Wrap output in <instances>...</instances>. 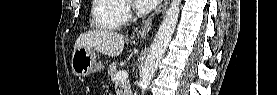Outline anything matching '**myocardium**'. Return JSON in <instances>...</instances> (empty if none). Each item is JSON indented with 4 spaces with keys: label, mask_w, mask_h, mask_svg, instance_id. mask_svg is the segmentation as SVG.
Segmentation results:
<instances>
[{
    "label": "myocardium",
    "mask_w": 277,
    "mask_h": 95,
    "mask_svg": "<svg viewBox=\"0 0 277 95\" xmlns=\"http://www.w3.org/2000/svg\"><path fill=\"white\" fill-rule=\"evenodd\" d=\"M126 2L134 11H137V9L135 8V5H134L132 0H126Z\"/></svg>",
    "instance_id": "myocardium-1"
}]
</instances>
